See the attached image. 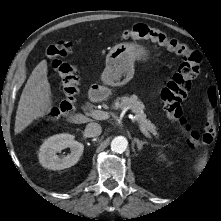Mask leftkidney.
Masks as SVG:
<instances>
[{"mask_svg": "<svg viewBox=\"0 0 221 221\" xmlns=\"http://www.w3.org/2000/svg\"><path fill=\"white\" fill-rule=\"evenodd\" d=\"M159 157L162 159V160H165V156L163 154H160Z\"/></svg>", "mask_w": 221, "mask_h": 221, "instance_id": "5707ae66", "label": "left kidney"}]
</instances>
